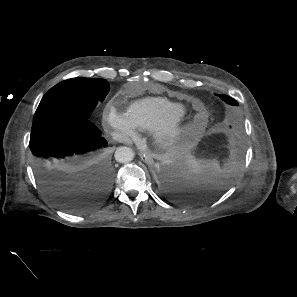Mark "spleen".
Masks as SVG:
<instances>
[{
	"label": "spleen",
	"mask_w": 297,
	"mask_h": 297,
	"mask_svg": "<svg viewBox=\"0 0 297 297\" xmlns=\"http://www.w3.org/2000/svg\"><path fill=\"white\" fill-rule=\"evenodd\" d=\"M186 166L188 171L195 176H201L210 171L220 170V165L217 160L197 159L192 155L186 156Z\"/></svg>",
	"instance_id": "spleen-1"
}]
</instances>
